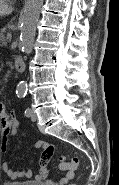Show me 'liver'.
Instances as JSON below:
<instances>
[{"mask_svg": "<svg viewBox=\"0 0 119 185\" xmlns=\"http://www.w3.org/2000/svg\"><path fill=\"white\" fill-rule=\"evenodd\" d=\"M12 12V8L7 5L4 0H0V16L8 15Z\"/></svg>", "mask_w": 119, "mask_h": 185, "instance_id": "liver-1", "label": "liver"}]
</instances>
